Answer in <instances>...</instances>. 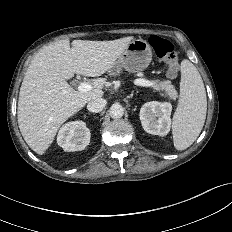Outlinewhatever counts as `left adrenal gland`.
I'll list each match as a JSON object with an SVG mask.
<instances>
[{"mask_svg":"<svg viewBox=\"0 0 232 232\" xmlns=\"http://www.w3.org/2000/svg\"><path fill=\"white\" fill-rule=\"evenodd\" d=\"M133 97V93L130 95V98H132Z\"/></svg>","mask_w":232,"mask_h":232,"instance_id":"obj_1","label":"left adrenal gland"}]
</instances>
